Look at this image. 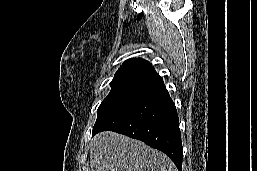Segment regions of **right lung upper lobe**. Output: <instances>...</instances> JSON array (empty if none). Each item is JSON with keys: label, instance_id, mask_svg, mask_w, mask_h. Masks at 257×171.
Returning <instances> with one entry per match:
<instances>
[{"label": "right lung upper lobe", "instance_id": "right-lung-upper-lobe-1", "mask_svg": "<svg viewBox=\"0 0 257 171\" xmlns=\"http://www.w3.org/2000/svg\"><path fill=\"white\" fill-rule=\"evenodd\" d=\"M163 82L154 67L142 58L125 61L116 72L110 85L114 88L134 89L147 86L150 89Z\"/></svg>", "mask_w": 257, "mask_h": 171}]
</instances>
